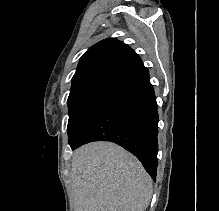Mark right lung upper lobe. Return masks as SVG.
I'll use <instances>...</instances> for the list:
<instances>
[{"label":"right lung upper lobe","instance_id":"1","mask_svg":"<svg viewBox=\"0 0 219 211\" xmlns=\"http://www.w3.org/2000/svg\"><path fill=\"white\" fill-rule=\"evenodd\" d=\"M141 68L140 57L128 45L114 38L102 40L81 57L69 97L97 87L113 88Z\"/></svg>","mask_w":219,"mask_h":211}]
</instances>
